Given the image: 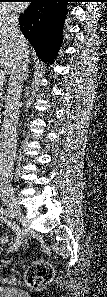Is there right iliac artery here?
Returning a JSON list of instances; mask_svg holds the SVG:
<instances>
[{"instance_id":"obj_1","label":"right iliac artery","mask_w":107,"mask_h":297,"mask_svg":"<svg viewBox=\"0 0 107 297\" xmlns=\"http://www.w3.org/2000/svg\"><path fill=\"white\" fill-rule=\"evenodd\" d=\"M0 196H1V198H3V201L5 202V204H7L6 203V200H5V196L6 195H4V192H3V190H2V193H0ZM1 214L2 215H6V217L7 216H10V212L9 211H7V210H2L1 211ZM6 217H2L3 218V220L5 221V223H7L15 232H16V234L17 235H20V233H21V230H20V228L18 227V226H16L14 223H11L10 221H8L7 219H6ZM12 250V248H10V251Z\"/></svg>"}]
</instances>
